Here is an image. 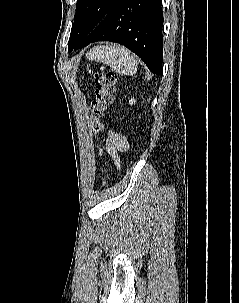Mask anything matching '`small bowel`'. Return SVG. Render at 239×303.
Masks as SVG:
<instances>
[{
    "label": "small bowel",
    "instance_id": "c3829d8e",
    "mask_svg": "<svg viewBox=\"0 0 239 303\" xmlns=\"http://www.w3.org/2000/svg\"><path fill=\"white\" fill-rule=\"evenodd\" d=\"M105 149L114 162L119 165V153L128 149V142L123 135L110 133L106 139Z\"/></svg>",
    "mask_w": 239,
    "mask_h": 303
}]
</instances>
